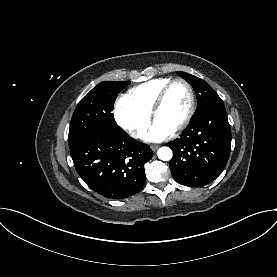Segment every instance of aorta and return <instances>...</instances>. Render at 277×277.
<instances>
[{
  "mask_svg": "<svg viewBox=\"0 0 277 277\" xmlns=\"http://www.w3.org/2000/svg\"><path fill=\"white\" fill-rule=\"evenodd\" d=\"M158 158L162 161H169L172 156V150L169 147H161L157 151Z\"/></svg>",
  "mask_w": 277,
  "mask_h": 277,
  "instance_id": "1",
  "label": "aorta"
}]
</instances>
